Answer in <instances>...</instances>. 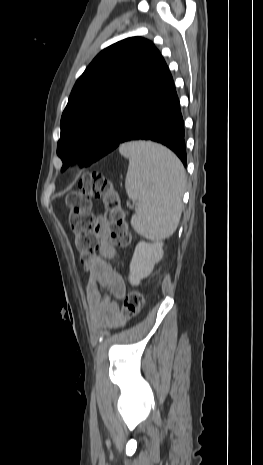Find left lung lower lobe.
Returning a JSON list of instances; mask_svg holds the SVG:
<instances>
[{
  "label": "left lung lower lobe",
  "instance_id": "1",
  "mask_svg": "<svg viewBox=\"0 0 263 465\" xmlns=\"http://www.w3.org/2000/svg\"><path fill=\"white\" fill-rule=\"evenodd\" d=\"M184 122L179 99L169 69L162 56L152 65L142 79L132 102L121 107L114 127L99 153L82 165L89 166L119 145L131 140H151L170 148L187 163L184 141ZM63 161L62 171L72 160Z\"/></svg>",
  "mask_w": 263,
  "mask_h": 465
}]
</instances>
